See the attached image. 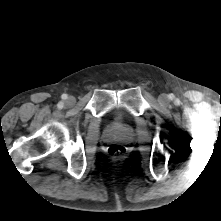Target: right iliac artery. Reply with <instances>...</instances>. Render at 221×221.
Returning a JSON list of instances; mask_svg holds the SVG:
<instances>
[{"label":"right iliac artery","mask_w":221,"mask_h":221,"mask_svg":"<svg viewBox=\"0 0 221 221\" xmlns=\"http://www.w3.org/2000/svg\"><path fill=\"white\" fill-rule=\"evenodd\" d=\"M62 107H63V103L60 102V103L58 104V108H62Z\"/></svg>","instance_id":"82829eb1"}]
</instances>
